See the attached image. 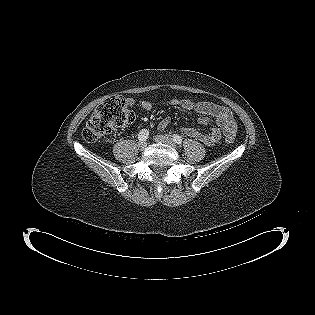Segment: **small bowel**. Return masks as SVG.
<instances>
[{"label": "small bowel", "instance_id": "1", "mask_svg": "<svg viewBox=\"0 0 315 315\" xmlns=\"http://www.w3.org/2000/svg\"><path fill=\"white\" fill-rule=\"evenodd\" d=\"M134 103L135 100L133 98L127 99V105L129 107L133 106ZM164 105L178 106L185 110L194 111L200 114L201 117L199 118V124L203 126L208 125L213 118L216 121V126L212 127L207 133H202L196 128L192 127L182 128V132L185 135L200 140L207 146H211L217 143L220 140L222 134H224L225 136L229 135L233 138L236 134L237 123L233 116V113L223 106L217 105L212 102L196 101L188 98H172L165 101ZM140 106L145 111H150L153 107L152 103L147 99H142L140 101ZM170 122L171 119L169 117L162 119L159 123V128H166L170 124Z\"/></svg>", "mask_w": 315, "mask_h": 315}]
</instances>
